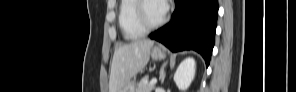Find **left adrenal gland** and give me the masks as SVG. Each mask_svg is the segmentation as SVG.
<instances>
[{
  "label": "left adrenal gland",
  "instance_id": "1",
  "mask_svg": "<svg viewBox=\"0 0 296 92\" xmlns=\"http://www.w3.org/2000/svg\"><path fill=\"white\" fill-rule=\"evenodd\" d=\"M164 78H165V71H164V68H163L162 72H161V75H160L161 84H163Z\"/></svg>",
  "mask_w": 296,
  "mask_h": 92
}]
</instances>
